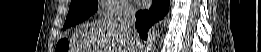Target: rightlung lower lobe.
I'll return each mask as SVG.
<instances>
[{
	"mask_svg": "<svg viewBox=\"0 0 261 52\" xmlns=\"http://www.w3.org/2000/svg\"><path fill=\"white\" fill-rule=\"evenodd\" d=\"M170 0H153L149 10L139 11L136 14V28L140 36L146 40L147 32L154 23L163 19L169 10Z\"/></svg>",
	"mask_w": 261,
	"mask_h": 52,
	"instance_id": "1",
	"label": "right lung lower lobe"
}]
</instances>
